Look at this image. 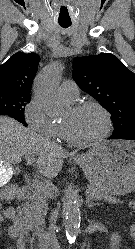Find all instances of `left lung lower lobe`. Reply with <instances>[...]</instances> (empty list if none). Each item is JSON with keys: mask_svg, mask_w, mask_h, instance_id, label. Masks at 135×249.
<instances>
[{"mask_svg": "<svg viewBox=\"0 0 135 249\" xmlns=\"http://www.w3.org/2000/svg\"><path fill=\"white\" fill-rule=\"evenodd\" d=\"M109 139H131L135 140V125L123 133H113Z\"/></svg>", "mask_w": 135, "mask_h": 249, "instance_id": "obj_1", "label": "left lung lower lobe"}]
</instances>
